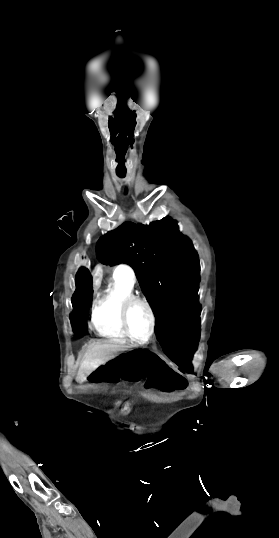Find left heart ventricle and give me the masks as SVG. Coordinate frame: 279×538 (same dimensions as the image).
Listing matches in <instances>:
<instances>
[{"label":"left heart ventricle","instance_id":"1","mask_svg":"<svg viewBox=\"0 0 279 538\" xmlns=\"http://www.w3.org/2000/svg\"><path fill=\"white\" fill-rule=\"evenodd\" d=\"M100 210L111 211L116 207H96ZM103 224H107V221L100 218ZM129 327L133 336L139 340H144L148 337L150 332V316L147 309L140 305H133L129 310L128 315Z\"/></svg>","mask_w":279,"mask_h":538}]
</instances>
